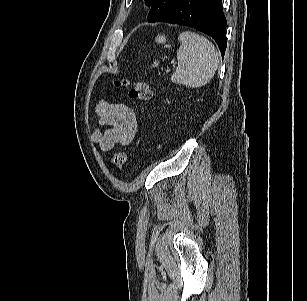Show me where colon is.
<instances>
[{"mask_svg": "<svg viewBox=\"0 0 307 301\" xmlns=\"http://www.w3.org/2000/svg\"><path fill=\"white\" fill-rule=\"evenodd\" d=\"M117 86L129 88V97L134 100L147 101L152 97V91L149 84L144 80H121L116 81ZM128 155L125 151L117 153L112 159V165L119 169L127 162Z\"/></svg>", "mask_w": 307, "mask_h": 301, "instance_id": "1", "label": "colon"}]
</instances>
